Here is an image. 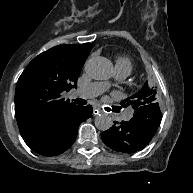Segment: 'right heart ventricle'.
<instances>
[{"label": "right heart ventricle", "instance_id": "right-heart-ventricle-1", "mask_svg": "<svg viewBox=\"0 0 193 193\" xmlns=\"http://www.w3.org/2000/svg\"><path fill=\"white\" fill-rule=\"evenodd\" d=\"M132 70V62L125 57H119L115 61V71L118 72H127L131 73Z\"/></svg>", "mask_w": 193, "mask_h": 193}]
</instances>
